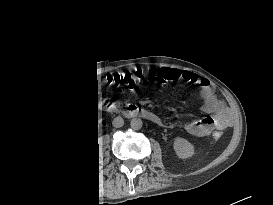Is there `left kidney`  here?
Listing matches in <instances>:
<instances>
[{"label":"left kidney","instance_id":"left-kidney-1","mask_svg":"<svg viewBox=\"0 0 273 205\" xmlns=\"http://www.w3.org/2000/svg\"><path fill=\"white\" fill-rule=\"evenodd\" d=\"M173 148L176 155L181 159L190 158L194 155V146L184 138H175Z\"/></svg>","mask_w":273,"mask_h":205}]
</instances>
